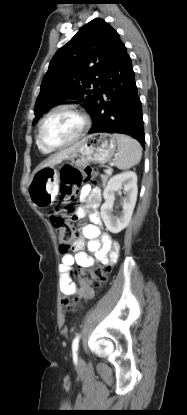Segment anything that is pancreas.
<instances>
[{
	"instance_id": "obj_1",
	"label": "pancreas",
	"mask_w": 187,
	"mask_h": 415,
	"mask_svg": "<svg viewBox=\"0 0 187 415\" xmlns=\"http://www.w3.org/2000/svg\"><path fill=\"white\" fill-rule=\"evenodd\" d=\"M110 175H111V172H109V173H107V174H105V175H101V179H102V185H103V187L105 186V184H106V182H107L108 178L110 177Z\"/></svg>"
}]
</instances>
